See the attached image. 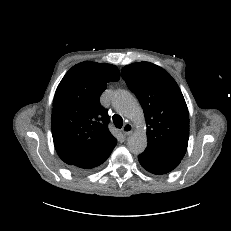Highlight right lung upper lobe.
<instances>
[{
    "label": "right lung upper lobe",
    "instance_id": "cb5924a9",
    "mask_svg": "<svg viewBox=\"0 0 231 231\" xmlns=\"http://www.w3.org/2000/svg\"><path fill=\"white\" fill-rule=\"evenodd\" d=\"M119 79L116 66L85 61L73 66L59 83L51 125L55 149L65 163L95 159L116 145L99 98L110 81Z\"/></svg>",
    "mask_w": 231,
    "mask_h": 231
}]
</instances>
